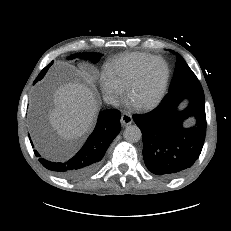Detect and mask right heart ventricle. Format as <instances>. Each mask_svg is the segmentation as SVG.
<instances>
[{
    "label": "right heart ventricle",
    "mask_w": 231,
    "mask_h": 231,
    "mask_svg": "<svg viewBox=\"0 0 231 231\" xmlns=\"http://www.w3.org/2000/svg\"><path fill=\"white\" fill-rule=\"evenodd\" d=\"M151 57L152 55L142 52L123 54L106 65L105 74L125 90L140 67Z\"/></svg>",
    "instance_id": "1"
}]
</instances>
